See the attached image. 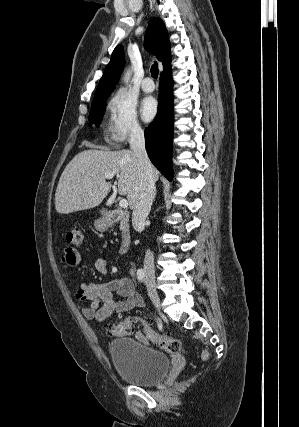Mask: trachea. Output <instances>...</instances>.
<instances>
[{
	"label": "trachea",
	"instance_id": "trachea-1",
	"mask_svg": "<svg viewBox=\"0 0 299 427\" xmlns=\"http://www.w3.org/2000/svg\"><path fill=\"white\" fill-rule=\"evenodd\" d=\"M158 73H159V71H158V65H157V63H154L152 65V67H151V76L154 79H157L158 78Z\"/></svg>",
	"mask_w": 299,
	"mask_h": 427
}]
</instances>
